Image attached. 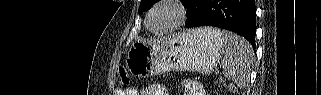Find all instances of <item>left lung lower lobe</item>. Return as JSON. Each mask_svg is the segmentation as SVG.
<instances>
[{
  "mask_svg": "<svg viewBox=\"0 0 321 95\" xmlns=\"http://www.w3.org/2000/svg\"><path fill=\"white\" fill-rule=\"evenodd\" d=\"M187 28L215 26L246 38L255 48V0H191L186 6Z\"/></svg>",
  "mask_w": 321,
  "mask_h": 95,
  "instance_id": "left-lung-lower-lobe-1",
  "label": "left lung lower lobe"
}]
</instances>
